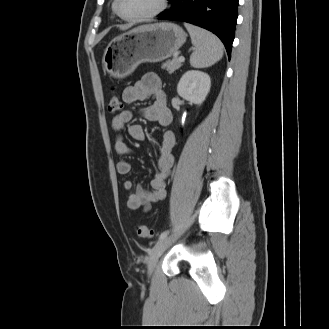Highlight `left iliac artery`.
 Returning a JSON list of instances; mask_svg holds the SVG:
<instances>
[{
    "mask_svg": "<svg viewBox=\"0 0 329 329\" xmlns=\"http://www.w3.org/2000/svg\"><path fill=\"white\" fill-rule=\"evenodd\" d=\"M168 233H169V230H165V231H163V232L160 234L159 238H158V242L161 241L162 239L166 238L167 235H168Z\"/></svg>",
    "mask_w": 329,
    "mask_h": 329,
    "instance_id": "left-iliac-artery-1",
    "label": "left iliac artery"
}]
</instances>
